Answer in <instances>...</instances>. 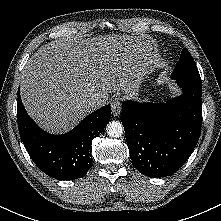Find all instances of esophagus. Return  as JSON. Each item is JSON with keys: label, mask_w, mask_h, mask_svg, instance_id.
Masks as SVG:
<instances>
[{"label": "esophagus", "mask_w": 221, "mask_h": 221, "mask_svg": "<svg viewBox=\"0 0 221 221\" xmlns=\"http://www.w3.org/2000/svg\"><path fill=\"white\" fill-rule=\"evenodd\" d=\"M111 111L114 116H118L121 113V100H120V98H114L112 100Z\"/></svg>", "instance_id": "obj_1"}]
</instances>
